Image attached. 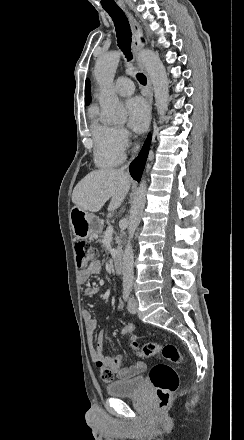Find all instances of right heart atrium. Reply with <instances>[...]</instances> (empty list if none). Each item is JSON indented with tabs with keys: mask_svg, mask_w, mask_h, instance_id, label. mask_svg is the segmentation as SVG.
<instances>
[{
	"mask_svg": "<svg viewBox=\"0 0 244 440\" xmlns=\"http://www.w3.org/2000/svg\"><path fill=\"white\" fill-rule=\"evenodd\" d=\"M130 133L122 126L112 128L111 136L106 141L108 150H123L129 143Z\"/></svg>",
	"mask_w": 244,
	"mask_h": 440,
	"instance_id": "d8ad5b80",
	"label": "right heart atrium"
}]
</instances>
